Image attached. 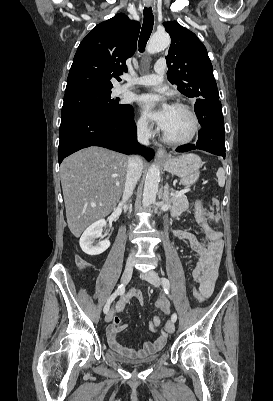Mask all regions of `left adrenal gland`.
Listing matches in <instances>:
<instances>
[{
    "mask_svg": "<svg viewBox=\"0 0 273 401\" xmlns=\"http://www.w3.org/2000/svg\"><path fill=\"white\" fill-rule=\"evenodd\" d=\"M163 188H164V192H163V194H160V196H161V198H163V201H165V203H168V201H169V196H168L169 184H168V182H166V184H165V186H163Z\"/></svg>",
    "mask_w": 273,
    "mask_h": 401,
    "instance_id": "left-adrenal-gland-1",
    "label": "left adrenal gland"
}]
</instances>
